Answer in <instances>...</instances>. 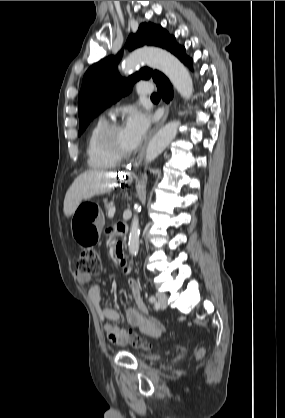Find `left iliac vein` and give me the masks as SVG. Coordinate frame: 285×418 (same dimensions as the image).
Masks as SVG:
<instances>
[{
  "instance_id": "left-iliac-vein-1",
  "label": "left iliac vein",
  "mask_w": 285,
  "mask_h": 418,
  "mask_svg": "<svg viewBox=\"0 0 285 418\" xmlns=\"http://www.w3.org/2000/svg\"><path fill=\"white\" fill-rule=\"evenodd\" d=\"M156 298H157L156 306L158 308L167 307V296L164 293H157Z\"/></svg>"
}]
</instances>
